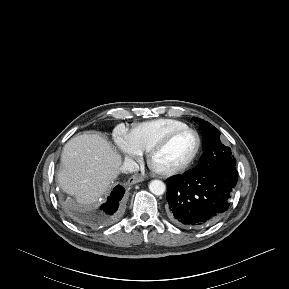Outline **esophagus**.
Returning <instances> with one entry per match:
<instances>
[{
  "label": "esophagus",
  "mask_w": 289,
  "mask_h": 289,
  "mask_svg": "<svg viewBox=\"0 0 289 289\" xmlns=\"http://www.w3.org/2000/svg\"><path fill=\"white\" fill-rule=\"evenodd\" d=\"M142 181H144V177H142L140 175H134V176L129 178L128 184L129 185H133V184H136V183H139V182H142Z\"/></svg>",
  "instance_id": "esophagus-1"
}]
</instances>
